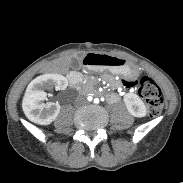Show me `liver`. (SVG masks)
Here are the masks:
<instances>
[{"mask_svg": "<svg viewBox=\"0 0 183 183\" xmlns=\"http://www.w3.org/2000/svg\"><path fill=\"white\" fill-rule=\"evenodd\" d=\"M68 70H69V61L68 60H64V61L60 62L55 68V71L59 72V73H66Z\"/></svg>", "mask_w": 183, "mask_h": 183, "instance_id": "6515ba94", "label": "liver"}]
</instances>
